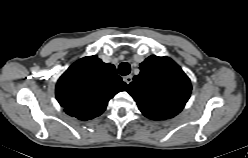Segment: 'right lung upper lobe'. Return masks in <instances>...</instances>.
Instances as JSON below:
<instances>
[{"mask_svg":"<svg viewBox=\"0 0 248 158\" xmlns=\"http://www.w3.org/2000/svg\"><path fill=\"white\" fill-rule=\"evenodd\" d=\"M126 89L114 65L97 56H87L73 63L56 85V98L65 112L79 120L102 114L108 101Z\"/></svg>","mask_w":248,"mask_h":158,"instance_id":"cb5924a9","label":"right lung upper lobe"}]
</instances>
